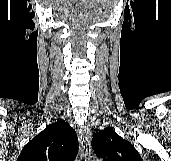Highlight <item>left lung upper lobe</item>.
Returning <instances> with one entry per match:
<instances>
[{
    "mask_svg": "<svg viewBox=\"0 0 171 161\" xmlns=\"http://www.w3.org/2000/svg\"><path fill=\"white\" fill-rule=\"evenodd\" d=\"M92 148L104 161H143L132 144L111 127L93 134Z\"/></svg>",
    "mask_w": 171,
    "mask_h": 161,
    "instance_id": "obj_1",
    "label": "left lung upper lobe"
}]
</instances>
